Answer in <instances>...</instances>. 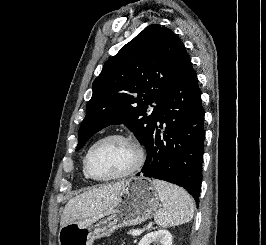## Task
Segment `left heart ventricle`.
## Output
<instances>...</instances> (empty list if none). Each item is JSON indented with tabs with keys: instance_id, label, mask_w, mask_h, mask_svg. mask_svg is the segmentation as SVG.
<instances>
[{
	"instance_id": "obj_1",
	"label": "left heart ventricle",
	"mask_w": 266,
	"mask_h": 245,
	"mask_svg": "<svg viewBox=\"0 0 266 245\" xmlns=\"http://www.w3.org/2000/svg\"><path fill=\"white\" fill-rule=\"evenodd\" d=\"M136 148L120 139H109L99 144L92 152L89 167L100 178H108L127 172L135 163Z\"/></svg>"
}]
</instances>
